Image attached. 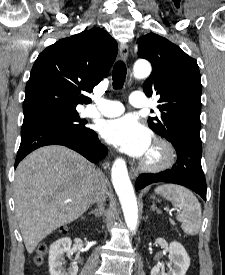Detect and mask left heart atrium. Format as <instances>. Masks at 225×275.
Wrapping results in <instances>:
<instances>
[{
	"label": "left heart atrium",
	"mask_w": 225,
	"mask_h": 275,
	"mask_svg": "<svg viewBox=\"0 0 225 275\" xmlns=\"http://www.w3.org/2000/svg\"><path fill=\"white\" fill-rule=\"evenodd\" d=\"M101 134L107 142L134 157L145 156L151 148L149 130L133 115L106 121Z\"/></svg>",
	"instance_id": "39dd6f15"
}]
</instances>
